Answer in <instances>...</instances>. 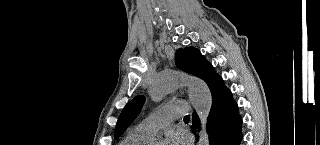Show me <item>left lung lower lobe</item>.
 Listing matches in <instances>:
<instances>
[{
    "mask_svg": "<svg viewBox=\"0 0 320 145\" xmlns=\"http://www.w3.org/2000/svg\"><path fill=\"white\" fill-rule=\"evenodd\" d=\"M198 77L207 83L212 93L213 103L207 122L210 145H239L242 119L231 91L225 87L223 79L215 73L210 63L205 65ZM192 117V130L200 129L196 112Z\"/></svg>",
    "mask_w": 320,
    "mask_h": 145,
    "instance_id": "obj_1",
    "label": "left lung lower lobe"
}]
</instances>
